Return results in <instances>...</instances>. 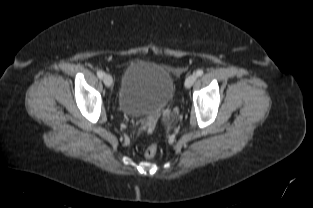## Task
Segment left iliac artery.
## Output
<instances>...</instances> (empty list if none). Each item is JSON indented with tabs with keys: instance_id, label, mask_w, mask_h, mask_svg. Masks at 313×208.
Returning <instances> with one entry per match:
<instances>
[{
	"instance_id": "left-iliac-artery-1",
	"label": "left iliac artery",
	"mask_w": 313,
	"mask_h": 208,
	"mask_svg": "<svg viewBox=\"0 0 313 208\" xmlns=\"http://www.w3.org/2000/svg\"><path fill=\"white\" fill-rule=\"evenodd\" d=\"M203 73H204V71L202 69H199V70L196 71V75L197 76H202Z\"/></svg>"
}]
</instances>
